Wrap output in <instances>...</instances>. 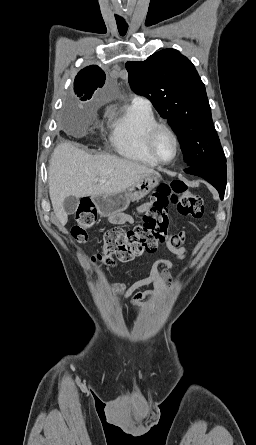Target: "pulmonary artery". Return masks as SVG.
Segmentation results:
<instances>
[{
	"instance_id": "e3ab8cb5",
	"label": "pulmonary artery",
	"mask_w": 256,
	"mask_h": 445,
	"mask_svg": "<svg viewBox=\"0 0 256 445\" xmlns=\"http://www.w3.org/2000/svg\"><path fill=\"white\" fill-rule=\"evenodd\" d=\"M133 102L149 104V101H148L146 98H144V97H140V96L135 97V98L133 99Z\"/></svg>"
}]
</instances>
